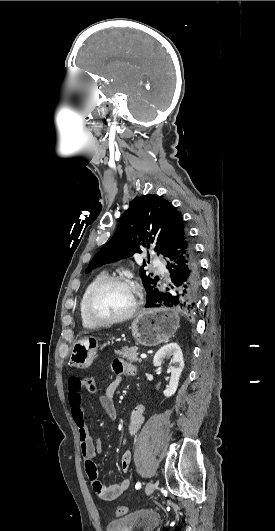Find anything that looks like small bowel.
Returning <instances> with one entry per match:
<instances>
[{"label": "small bowel", "instance_id": "c3829d8e", "mask_svg": "<svg viewBox=\"0 0 275 531\" xmlns=\"http://www.w3.org/2000/svg\"><path fill=\"white\" fill-rule=\"evenodd\" d=\"M113 372L116 374V379L112 381L105 389L104 394L99 397V404L108 414V416L115 420L117 418V409L114 405V395L122 384L124 376H132L136 373V367L121 358H116L112 362ZM69 383L65 386V391L68 394V402L70 405V412L73 423L78 429L80 452L85 460V470L88 479L90 480L92 489L98 498L104 501H112L122 495L130 487V480L128 478L121 479L114 485H105L99 478L98 470L95 464V458L98 453L102 451L103 445L99 438H93L86 425L85 411L82 405L81 396V376L79 373H70L68 376ZM145 407L139 405L134 410L129 431L131 435H136L144 421ZM132 452L125 450L120 458V467L124 472H128L131 466Z\"/></svg>", "mask_w": 275, "mask_h": 531}]
</instances>
